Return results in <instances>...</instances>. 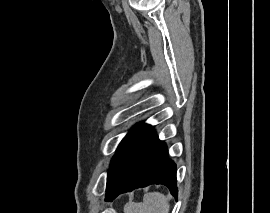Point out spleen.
Segmentation results:
<instances>
[{"label":"spleen","mask_w":270,"mask_h":213,"mask_svg":"<svg viewBox=\"0 0 270 213\" xmlns=\"http://www.w3.org/2000/svg\"><path fill=\"white\" fill-rule=\"evenodd\" d=\"M167 197L160 192L147 193L142 203H128L125 213H169Z\"/></svg>","instance_id":"obj_1"}]
</instances>
